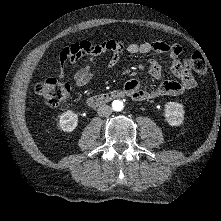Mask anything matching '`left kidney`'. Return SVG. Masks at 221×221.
Returning a JSON list of instances; mask_svg holds the SVG:
<instances>
[{
  "mask_svg": "<svg viewBox=\"0 0 221 221\" xmlns=\"http://www.w3.org/2000/svg\"><path fill=\"white\" fill-rule=\"evenodd\" d=\"M165 119L171 126H179L184 120V107L178 102L165 104Z\"/></svg>",
  "mask_w": 221,
  "mask_h": 221,
  "instance_id": "obj_1",
  "label": "left kidney"
}]
</instances>
